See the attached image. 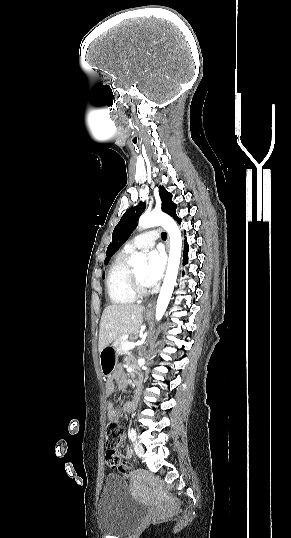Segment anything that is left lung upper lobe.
<instances>
[{
    "label": "left lung upper lobe",
    "instance_id": "5c2ea615",
    "mask_svg": "<svg viewBox=\"0 0 291 538\" xmlns=\"http://www.w3.org/2000/svg\"><path fill=\"white\" fill-rule=\"evenodd\" d=\"M159 195L162 201V210L170 216L174 217L175 219L178 218L175 214L177 206L172 202V194L166 191L163 186H160ZM144 209L145 203L142 202L139 205L129 208L123 214L121 220L113 230L112 242L107 248V257L105 259L106 264L110 260L111 255L130 237L132 231L136 226V222Z\"/></svg>",
    "mask_w": 291,
    "mask_h": 538
}]
</instances>
